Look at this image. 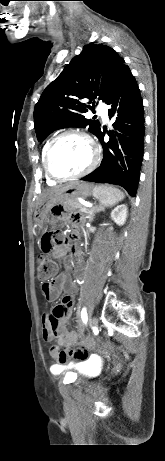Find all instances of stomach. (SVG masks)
Segmentation results:
<instances>
[{"label":"stomach","instance_id":"0dacf381","mask_svg":"<svg viewBox=\"0 0 165 461\" xmlns=\"http://www.w3.org/2000/svg\"><path fill=\"white\" fill-rule=\"evenodd\" d=\"M95 188L96 187L90 183L76 181L67 184L56 192L46 195L38 207L37 225L42 227L47 223V216L53 204H61L68 198H86L94 195Z\"/></svg>","mask_w":165,"mask_h":461}]
</instances>
